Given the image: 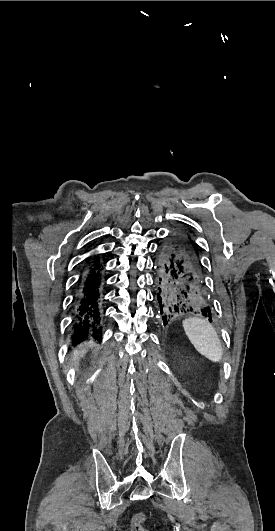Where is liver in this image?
<instances>
[{
	"label": "liver",
	"instance_id": "6515ba94",
	"mask_svg": "<svg viewBox=\"0 0 275 531\" xmlns=\"http://www.w3.org/2000/svg\"><path fill=\"white\" fill-rule=\"evenodd\" d=\"M86 351H73L72 359L71 361H78V359H81L83 355H85Z\"/></svg>",
	"mask_w": 275,
	"mask_h": 531
}]
</instances>
